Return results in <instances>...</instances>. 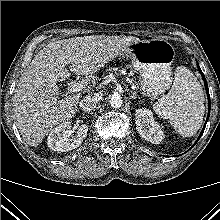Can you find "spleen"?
I'll return each mask as SVG.
<instances>
[{"mask_svg":"<svg viewBox=\"0 0 220 220\" xmlns=\"http://www.w3.org/2000/svg\"><path fill=\"white\" fill-rule=\"evenodd\" d=\"M205 96L193 73L178 66L169 93L154 103V111L169 119L173 128L183 137H191L200 129L205 113Z\"/></svg>","mask_w":220,"mask_h":220,"instance_id":"3e777b00","label":"spleen"}]
</instances>
